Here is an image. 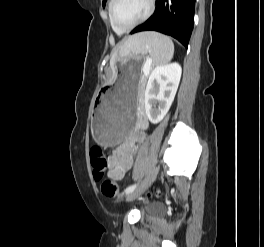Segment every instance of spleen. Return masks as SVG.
Returning a JSON list of instances; mask_svg holds the SVG:
<instances>
[{
	"mask_svg": "<svg viewBox=\"0 0 264 247\" xmlns=\"http://www.w3.org/2000/svg\"><path fill=\"white\" fill-rule=\"evenodd\" d=\"M120 54L126 58H137L149 54L155 66L168 63L174 54L172 40L160 33L146 32L129 41Z\"/></svg>",
	"mask_w": 264,
	"mask_h": 247,
	"instance_id": "spleen-1",
	"label": "spleen"
}]
</instances>
